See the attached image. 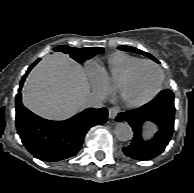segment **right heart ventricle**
Instances as JSON below:
<instances>
[{
    "instance_id": "obj_1",
    "label": "right heart ventricle",
    "mask_w": 194,
    "mask_h": 193,
    "mask_svg": "<svg viewBox=\"0 0 194 193\" xmlns=\"http://www.w3.org/2000/svg\"><path fill=\"white\" fill-rule=\"evenodd\" d=\"M143 59L130 55L122 51H116L108 55L105 59V64H96L102 77L110 85L115 87L119 78L135 63Z\"/></svg>"
}]
</instances>
